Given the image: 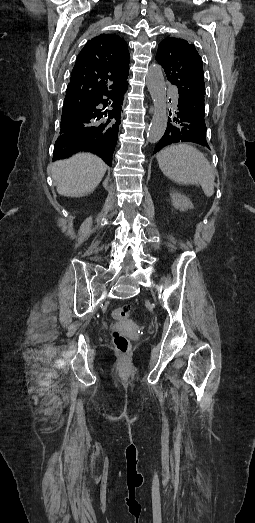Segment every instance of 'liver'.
<instances>
[{
  "label": "liver",
  "instance_id": "obj_1",
  "mask_svg": "<svg viewBox=\"0 0 255 523\" xmlns=\"http://www.w3.org/2000/svg\"><path fill=\"white\" fill-rule=\"evenodd\" d=\"M60 196L81 198L93 192L100 184L107 166L94 154H75L69 160L54 162L49 168Z\"/></svg>",
  "mask_w": 255,
  "mask_h": 523
}]
</instances>
